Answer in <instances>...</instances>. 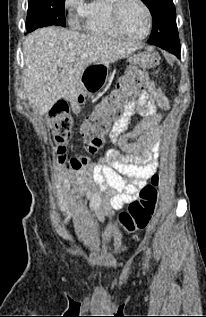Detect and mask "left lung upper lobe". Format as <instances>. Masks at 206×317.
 <instances>
[{
    "mask_svg": "<svg viewBox=\"0 0 206 317\" xmlns=\"http://www.w3.org/2000/svg\"><path fill=\"white\" fill-rule=\"evenodd\" d=\"M153 17V30L149 43L180 44L176 25V13L172 0H142Z\"/></svg>",
    "mask_w": 206,
    "mask_h": 317,
    "instance_id": "obj_1",
    "label": "left lung upper lobe"
}]
</instances>
